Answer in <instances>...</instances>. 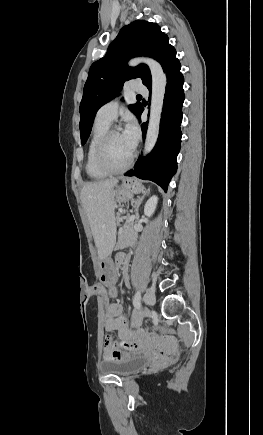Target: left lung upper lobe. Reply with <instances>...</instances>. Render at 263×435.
<instances>
[{"instance_id": "1", "label": "left lung upper lobe", "mask_w": 263, "mask_h": 435, "mask_svg": "<svg viewBox=\"0 0 263 435\" xmlns=\"http://www.w3.org/2000/svg\"><path fill=\"white\" fill-rule=\"evenodd\" d=\"M150 56L156 59L164 72L177 59L176 50L169 44L168 36L161 28L145 20H136L124 26L110 44L106 55L90 67L80 104L81 143L87 141L98 109L121 91L125 81L141 78L147 88L152 79L147 65L128 67L127 61L135 56ZM129 109L138 117L140 103Z\"/></svg>"}]
</instances>
